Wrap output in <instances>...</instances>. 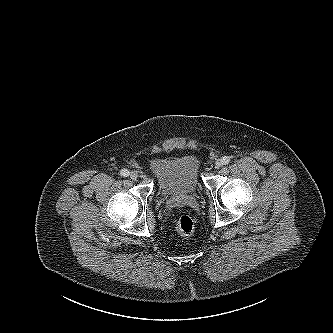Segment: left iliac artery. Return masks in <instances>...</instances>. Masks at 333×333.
<instances>
[{
    "label": "left iliac artery",
    "mask_w": 333,
    "mask_h": 333,
    "mask_svg": "<svg viewBox=\"0 0 333 333\" xmlns=\"http://www.w3.org/2000/svg\"><path fill=\"white\" fill-rule=\"evenodd\" d=\"M230 162V157L229 156H224L222 158V164L226 165Z\"/></svg>",
    "instance_id": "left-iliac-artery-1"
}]
</instances>
